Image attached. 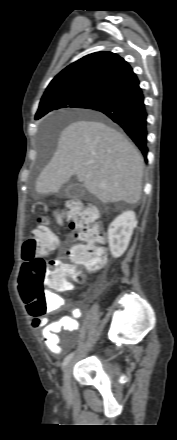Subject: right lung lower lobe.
I'll use <instances>...</instances> for the list:
<instances>
[{
  "label": "right lung lower lobe",
  "instance_id": "1",
  "mask_svg": "<svg viewBox=\"0 0 177 440\" xmlns=\"http://www.w3.org/2000/svg\"><path fill=\"white\" fill-rule=\"evenodd\" d=\"M86 109L99 111L122 127L147 161V112L138 79L100 97Z\"/></svg>",
  "mask_w": 177,
  "mask_h": 440
}]
</instances>
